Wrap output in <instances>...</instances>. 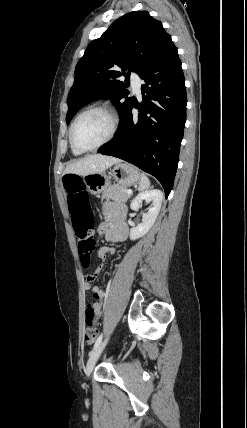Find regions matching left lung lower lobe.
Listing matches in <instances>:
<instances>
[{
    "label": "left lung lower lobe",
    "instance_id": "1",
    "mask_svg": "<svg viewBox=\"0 0 247 428\" xmlns=\"http://www.w3.org/2000/svg\"><path fill=\"white\" fill-rule=\"evenodd\" d=\"M140 77L142 103L125 106L116 138L99 153L150 173L168 197L173 187L186 122V88L177 48L163 54ZM133 106L138 116L132 115Z\"/></svg>",
    "mask_w": 247,
    "mask_h": 428
}]
</instances>
